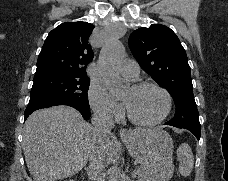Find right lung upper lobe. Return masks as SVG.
Listing matches in <instances>:
<instances>
[{"label": "right lung upper lobe", "instance_id": "1", "mask_svg": "<svg viewBox=\"0 0 228 181\" xmlns=\"http://www.w3.org/2000/svg\"><path fill=\"white\" fill-rule=\"evenodd\" d=\"M93 28L87 22H65L52 30L39 54L34 78L52 74L87 77L86 67L93 59L88 44Z\"/></svg>", "mask_w": 228, "mask_h": 181}]
</instances>
